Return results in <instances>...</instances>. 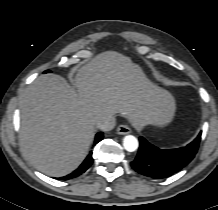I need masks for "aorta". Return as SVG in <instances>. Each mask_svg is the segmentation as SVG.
<instances>
[{
  "label": "aorta",
  "mask_w": 218,
  "mask_h": 210,
  "mask_svg": "<svg viewBox=\"0 0 218 210\" xmlns=\"http://www.w3.org/2000/svg\"><path fill=\"white\" fill-rule=\"evenodd\" d=\"M138 145L139 144H138L137 138L132 136V135H127L123 139V146H124L125 150H127L129 152H133V151L137 150Z\"/></svg>",
  "instance_id": "762f6f07"
}]
</instances>
